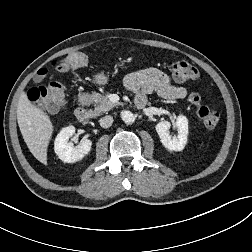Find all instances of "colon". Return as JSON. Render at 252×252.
Returning <instances> with one entry per match:
<instances>
[{
	"label": "colon",
	"instance_id": "1",
	"mask_svg": "<svg viewBox=\"0 0 252 252\" xmlns=\"http://www.w3.org/2000/svg\"><path fill=\"white\" fill-rule=\"evenodd\" d=\"M88 64V56L83 52H74L65 59H57L52 66L59 70L83 68ZM172 76L176 81L185 82L198 77L197 68L190 62L178 59L173 63ZM45 75L46 72H41ZM28 97L32 103L45 110H56L64 102V86L60 81H51L47 86L33 87L28 92ZM189 101L196 106L197 116L201 123L207 128L215 127L220 119L217 110L210 106H205L201 102L198 93H191Z\"/></svg>",
	"mask_w": 252,
	"mask_h": 252
}]
</instances>
